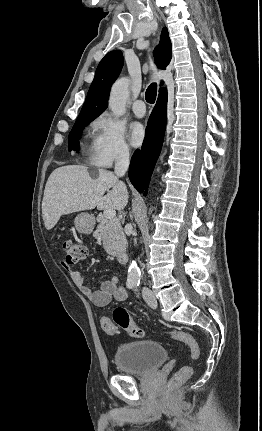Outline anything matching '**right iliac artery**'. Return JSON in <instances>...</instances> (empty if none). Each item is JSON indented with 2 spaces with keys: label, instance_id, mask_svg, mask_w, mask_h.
Here are the masks:
<instances>
[{
  "label": "right iliac artery",
  "instance_id": "1",
  "mask_svg": "<svg viewBox=\"0 0 262 431\" xmlns=\"http://www.w3.org/2000/svg\"><path fill=\"white\" fill-rule=\"evenodd\" d=\"M136 285H137V283H135V282H128V283H127V287H128L129 289L134 288Z\"/></svg>",
  "mask_w": 262,
  "mask_h": 431
}]
</instances>
